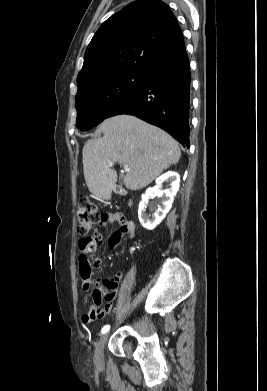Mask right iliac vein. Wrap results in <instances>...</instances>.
I'll use <instances>...</instances> for the list:
<instances>
[{"label":"right iliac vein","instance_id":"63e3f726","mask_svg":"<svg viewBox=\"0 0 267 391\" xmlns=\"http://www.w3.org/2000/svg\"><path fill=\"white\" fill-rule=\"evenodd\" d=\"M109 337V332L104 333L98 340L95 347L94 359L97 365H102L104 361V347Z\"/></svg>","mask_w":267,"mask_h":391}]
</instances>
